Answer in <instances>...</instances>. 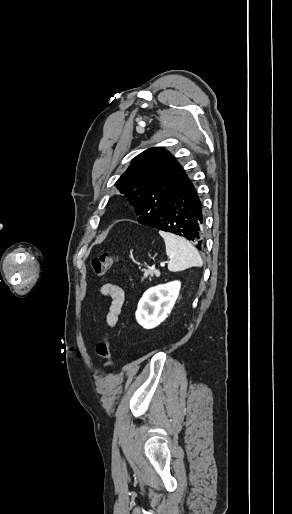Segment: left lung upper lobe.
Masks as SVG:
<instances>
[{"mask_svg": "<svg viewBox=\"0 0 292 514\" xmlns=\"http://www.w3.org/2000/svg\"><path fill=\"white\" fill-rule=\"evenodd\" d=\"M187 178L182 166L167 150L153 147L132 160L115 186L135 206L138 222L145 225L161 213Z\"/></svg>", "mask_w": 292, "mask_h": 514, "instance_id": "obj_1", "label": "left lung upper lobe"}]
</instances>
